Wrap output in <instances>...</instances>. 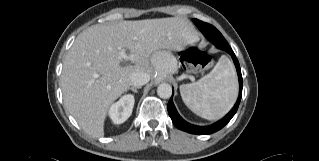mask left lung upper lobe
I'll list each match as a JSON object with an SVG mask.
<instances>
[{
  "mask_svg": "<svg viewBox=\"0 0 319 161\" xmlns=\"http://www.w3.org/2000/svg\"><path fill=\"white\" fill-rule=\"evenodd\" d=\"M195 25L199 27V24L203 25L206 30L212 32L213 38L207 37L209 41H211L217 48L222 49L223 46L228 45L222 34L212 25L202 22L198 19H193ZM200 29V28H199Z\"/></svg>",
  "mask_w": 319,
  "mask_h": 161,
  "instance_id": "1",
  "label": "left lung upper lobe"
}]
</instances>
